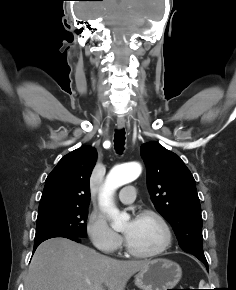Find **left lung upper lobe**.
<instances>
[{"mask_svg":"<svg viewBox=\"0 0 236 290\" xmlns=\"http://www.w3.org/2000/svg\"><path fill=\"white\" fill-rule=\"evenodd\" d=\"M140 153L156 210L173 227L182 250L207 263L203 252L201 206L191 172L176 154L157 142L143 144Z\"/></svg>","mask_w":236,"mask_h":290,"instance_id":"1","label":"left lung upper lobe"}]
</instances>
